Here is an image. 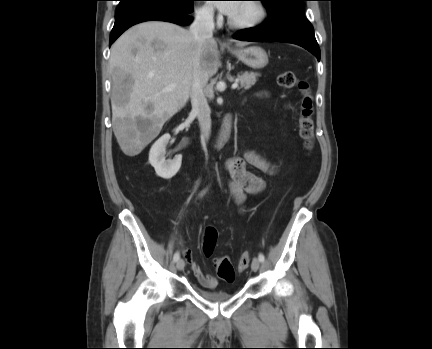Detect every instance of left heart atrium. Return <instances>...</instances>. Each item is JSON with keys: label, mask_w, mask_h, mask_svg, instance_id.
Segmentation results:
<instances>
[{"label": "left heart atrium", "mask_w": 432, "mask_h": 349, "mask_svg": "<svg viewBox=\"0 0 432 349\" xmlns=\"http://www.w3.org/2000/svg\"><path fill=\"white\" fill-rule=\"evenodd\" d=\"M216 6L222 13L231 16L238 8L239 3L237 1H221Z\"/></svg>", "instance_id": "39dd6f15"}]
</instances>
